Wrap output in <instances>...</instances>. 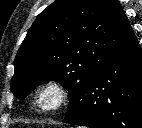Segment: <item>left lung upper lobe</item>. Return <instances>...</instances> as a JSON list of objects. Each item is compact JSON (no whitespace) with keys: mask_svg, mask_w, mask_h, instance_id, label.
I'll return each instance as SVG.
<instances>
[{"mask_svg":"<svg viewBox=\"0 0 142 128\" xmlns=\"http://www.w3.org/2000/svg\"><path fill=\"white\" fill-rule=\"evenodd\" d=\"M133 36L117 0H56L38 15L18 50L11 91L24 98L36 85L57 81L69 90L68 116L86 83Z\"/></svg>","mask_w":142,"mask_h":128,"instance_id":"5c2ea615","label":"left lung upper lobe"}]
</instances>
